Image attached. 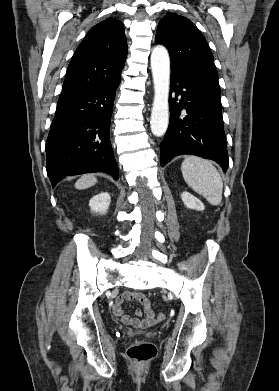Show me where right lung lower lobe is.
<instances>
[{"mask_svg":"<svg viewBox=\"0 0 279 391\" xmlns=\"http://www.w3.org/2000/svg\"><path fill=\"white\" fill-rule=\"evenodd\" d=\"M120 78L90 91L60 97L46 142L52 187L66 176L106 172L119 178L109 138Z\"/></svg>","mask_w":279,"mask_h":391,"instance_id":"1","label":"right lung lower lobe"}]
</instances>
